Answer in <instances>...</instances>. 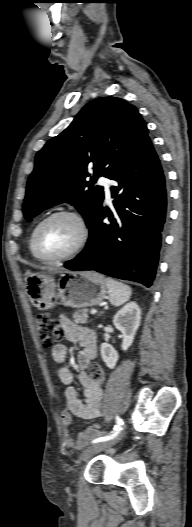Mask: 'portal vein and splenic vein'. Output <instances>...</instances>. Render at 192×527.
I'll use <instances>...</instances> for the list:
<instances>
[{"label": "portal vein and splenic vein", "instance_id": "1", "mask_svg": "<svg viewBox=\"0 0 192 527\" xmlns=\"http://www.w3.org/2000/svg\"><path fill=\"white\" fill-rule=\"evenodd\" d=\"M90 313H91V314H96V313H97V310H96V309H92V310L90 311Z\"/></svg>", "mask_w": 192, "mask_h": 527}]
</instances>
